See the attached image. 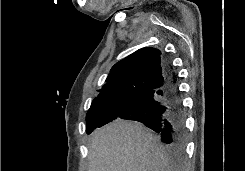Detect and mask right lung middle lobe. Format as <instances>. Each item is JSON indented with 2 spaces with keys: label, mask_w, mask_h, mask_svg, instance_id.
<instances>
[{
  "label": "right lung middle lobe",
  "mask_w": 245,
  "mask_h": 171,
  "mask_svg": "<svg viewBox=\"0 0 245 171\" xmlns=\"http://www.w3.org/2000/svg\"><path fill=\"white\" fill-rule=\"evenodd\" d=\"M126 97H113L99 102H93L86 116V131L90 133L108 115L114 112Z\"/></svg>",
  "instance_id": "right-lung-middle-lobe-1"
}]
</instances>
